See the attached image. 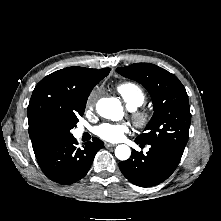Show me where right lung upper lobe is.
<instances>
[{
    "instance_id": "obj_1",
    "label": "right lung upper lobe",
    "mask_w": 221,
    "mask_h": 221,
    "mask_svg": "<svg viewBox=\"0 0 221 221\" xmlns=\"http://www.w3.org/2000/svg\"><path fill=\"white\" fill-rule=\"evenodd\" d=\"M110 68L68 67L43 78L28 105L29 135L36 158L63 139L66 117L84 101Z\"/></svg>"
}]
</instances>
